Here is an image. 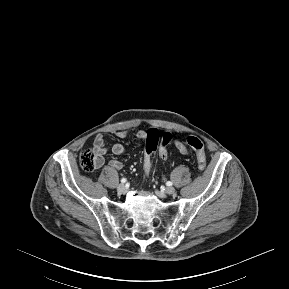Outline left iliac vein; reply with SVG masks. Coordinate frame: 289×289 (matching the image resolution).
<instances>
[{
  "mask_svg": "<svg viewBox=\"0 0 289 289\" xmlns=\"http://www.w3.org/2000/svg\"><path fill=\"white\" fill-rule=\"evenodd\" d=\"M165 192H166L167 194L171 195V194H173V193L175 192V188L169 186V187H167V188L165 189Z\"/></svg>",
  "mask_w": 289,
  "mask_h": 289,
  "instance_id": "obj_1",
  "label": "left iliac vein"
}]
</instances>
